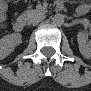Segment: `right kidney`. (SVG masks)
<instances>
[{
    "label": "right kidney",
    "mask_w": 91,
    "mask_h": 91,
    "mask_svg": "<svg viewBox=\"0 0 91 91\" xmlns=\"http://www.w3.org/2000/svg\"><path fill=\"white\" fill-rule=\"evenodd\" d=\"M22 35L20 33H13L4 36L0 39V57L3 59L7 57L14 48L21 43Z\"/></svg>",
    "instance_id": "ca27d5eb"
}]
</instances>
